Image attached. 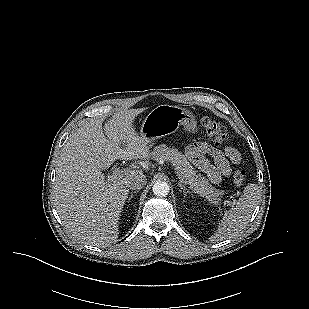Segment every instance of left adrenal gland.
<instances>
[{
    "label": "left adrenal gland",
    "mask_w": 309,
    "mask_h": 309,
    "mask_svg": "<svg viewBox=\"0 0 309 309\" xmlns=\"http://www.w3.org/2000/svg\"><path fill=\"white\" fill-rule=\"evenodd\" d=\"M178 186L183 190L184 196H187V193H190L189 190L182 184V182H179Z\"/></svg>",
    "instance_id": "a2214340"
}]
</instances>
